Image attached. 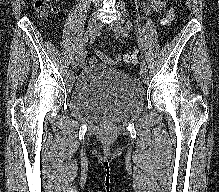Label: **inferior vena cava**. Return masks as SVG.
<instances>
[{
	"label": "inferior vena cava",
	"mask_w": 219,
	"mask_h": 192,
	"mask_svg": "<svg viewBox=\"0 0 219 192\" xmlns=\"http://www.w3.org/2000/svg\"><path fill=\"white\" fill-rule=\"evenodd\" d=\"M96 2H99L100 0H95Z\"/></svg>",
	"instance_id": "obj_1"
}]
</instances>
